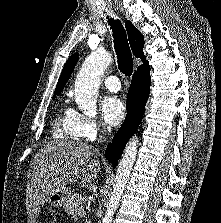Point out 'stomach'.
Segmentation results:
<instances>
[{"instance_id":"stomach-1","label":"stomach","mask_w":221,"mask_h":223,"mask_svg":"<svg viewBox=\"0 0 221 223\" xmlns=\"http://www.w3.org/2000/svg\"><path fill=\"white\" fill-rule=\"evenodd\" d=\"M71 195L72 194L69 188L65 187L60 190H56L46 199L45 202L53 207H60L66 203Z\"/></svg>"}]
</instances>
